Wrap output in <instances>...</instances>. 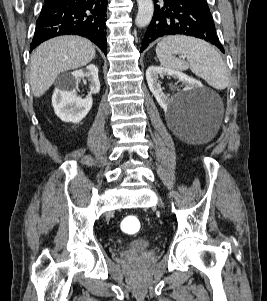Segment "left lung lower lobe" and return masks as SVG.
Returning a JSON list of instances; mask_svg holds the SVG:
<instances>
[{
	"label": "left lung lower lobe",
	"instance_id": "1",
	"mask_svg": "<svg viewBox=\"0 0 267 301\" xmlns=\"http://www.w3.org/2000/svg\"><path fill=\"white\" fill-rule=\"evenodd\" d=\"M156 2L154 16L144 35L141 51L159 37L181 34L209 41L224 53L208 6L197 0H164L163 7L156 5Z\"/></svg>",
	"mask_w": 267,
	"mask_h": 301
}]
</instances>
